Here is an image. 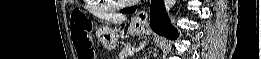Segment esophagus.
Instances as JSON below:
<instances>
[{
	"label": "esophagus",
	"mask_w": 261,
	"mask_h": 59,
	"mask_svg": "<svg viewBox=\"0 0 261 59\" xmlns=\"http://www.w3.org/2000/svg\"><path fill=\"white\" fill-rule=\"evenodd\" d=\"M133 21L140 25H146L148 23V13L145 10L137 12L133 17Z\"/></svg>",
	"instance_id": "34e87169"
}]
</instances>
